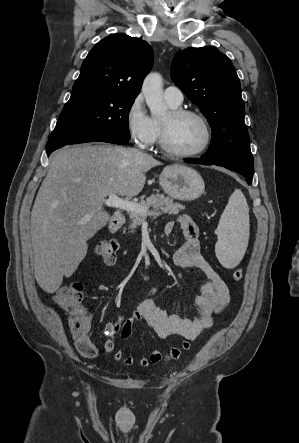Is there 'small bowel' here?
<instances>
[{
  "instance_id": "1",
  "label": "small bowel",
  "mask_w": 299,
  "mask_h": 443,
  "mask_svg": "<svg viewBox=\"0 0 299 443\" xmlns=\"http://www.w3.org/2000/svg\"><path fill=\"white\" fill-rule=\"evenodd\" d=\"M176 224L180 226L184 240L172 255L174 264L182 268H196L205 278L201 293L191 305L189 314L184 316L171 314L160 308L152 298V295L156 292L155 289H152L130 315L120 314L116 320L106 323L104 328L106 340L101 346H97L90 340L88 332L77 336L76 348L81 356L91 359L104 352L112 355L116 361H121L125 365L134 364L135 358L132 355H125L122 350L116 348V339L117 337L127 339L131 335L133 324L144 320L161 338L171 336L182 338L181 343L172 347L169 352L172 359H179L183 350L190 349V342L195 340L201 332L210 328L214 317L226 308L230 299L229 289L224 280L201 254L196 225L190 217L181 215L176 222H170L166 225L165 233L167 235L172 234ZM83 314L87 316L91 323L92 313L84 309ZM161 359V352L152 350L148 356L139 358L138 364L145 367L158 363Z\"/></svg>"
}]
</instances>
